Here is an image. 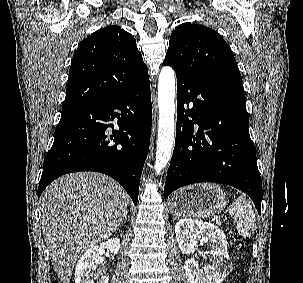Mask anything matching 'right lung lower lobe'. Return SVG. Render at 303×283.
I'll list each match as a JSON object with an SVG mask.
<instances>
[{"label": "right lung lower lobe", "instance_id": "1", "mask_svg": "<svg viewBox=\"0 0 303 283\" xmlns=\"http://www.w3.org/2000/svg\"><path fill=\"white\" fill-rule=\"evenodd\" d=\"M151 120L149 79L126 93L62 113L44 160L38 198L66 173L96 171L117 180L136 205Z\"/></svg>", "mask_w": 303, "mask_h": 283}]
</instances>
